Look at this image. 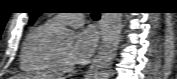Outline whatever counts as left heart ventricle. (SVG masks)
<instances>
[{
  "mask_svg": "<svg viewBox=\"0 0 177 79\" xmlns=\"http://www.w3.org/2000/svg\"><path fill=\"white\" fill-rule=\"evenodd\" d=\"M67 27L71 30H76L77 28L80 27V24H72V25H69ZM71 48H72L71 44H66V45L60 46L58 48L60 50V52L63 54V56L70 62H72L71 59H70Z\"/></svg>",
  "mask_w": 177,
  "mask_h": 79,
  "instance_id": "left-heart-ventricle-1",
  "label": "left heart ventricle"
}]
</instances>
